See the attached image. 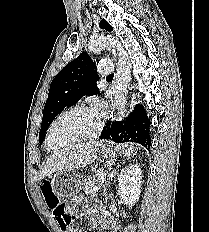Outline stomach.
Here are the masks:
<instances>
[{"instance_id": "0dacf381", "label": "stomach", "mask_w": 209, "mask_h": 232, "mask_svg": "<svg viewBox=\"0 0 209 232\" xmlns=\"http://www.w3.org/2000/svg\"><path fill=\"white\" fill-rule=\"evenodd\" d=\"M133 147L129 144L114 145L108 142L102 145L101 154L105 158H114L118 153L131 155ZM80 172L74 170L56 171L51 181L52 190L62 196V199L73 198L75 192L80 190V184L84 182L83 178H79Z\"/></svg>"}]
</instances>
